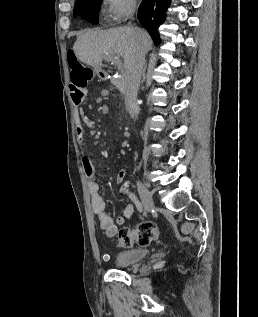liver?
I'll list each match as a JSON object with an SVG mask.
<instances>
[{
	"label": "liver",
	"instance_id": "6515ba94",
	"mask_svg": "<svg viewBox=\"0 0 258 317\" xmlns=\"http://www.w3.org/2000/svg\"><path fill=\"white\" fill-rule=\"evenodd\" d=\"M145 52L150 50L152 40L146 30H139ZM73 50L81 60L90 66H102L103 54L123 56L124 68H128L135 52L131 26H117L109 30H86L78 34Z\"/></svg>",
	"mask_w": 258,
	"mask_h": 317
}]
</instances>
